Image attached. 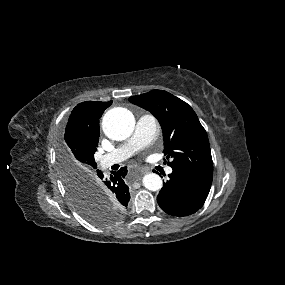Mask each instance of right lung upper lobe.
<instances>
[{
  "label": "right lung upper lobe",
  "mask_w": 285,
  "mask_h": 285,
  "mask_svg": "<svg viewBox=\"0 0 285 285\" xmlns=\"http://www.w3.org/2000/svg\"><path fill=\"white\" fill-rule=\"evenodd\" d=\"M109 102L86 101L78 104L67 122L63 137L64 145L72 159H94L99 140V119ZM97 167H91L95 172Z\"/></svg>",
  "instance_id": "obj_1"
}]
</instances>
